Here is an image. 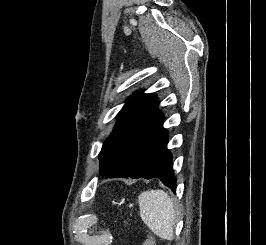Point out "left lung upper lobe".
I'll use <instances>...</instances> for the list:
<instances>
[{"label":"left lung upper lobe","mask_w":266,"mask_h":245,"mask_svg":"<svg viewBox=\"0 0 266 245\" xmlns=\"http://www.w3.org/2000/svg\"><path fill=\"white\" fill-rule=\"evenodd\" d=\"M155 94L138 91L117 115V123L100 152V174L116 177L131 167L142 139L163 119Z\"/></svg>","instance_id":"obj_1"}]
</instances>
